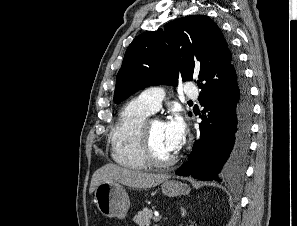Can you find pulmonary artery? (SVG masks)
Listing matches in <instances>:
<instances>
[{"mask_svg": "<svg viewBox=\"0 0 297 226\" xmlns=\"http://www.w3.org/2000/svg\"><path fill=\"white\" fill-rule=\"evenodd\" d=\"M185 95L188 98L195 99L199 95V90L196 86L189 85L185 89ZM163 98L164 91L159 87L145 89L138 96V100L141 101L152 113L159 109Z\"/></svg>", "mask_w": 297, "mask_h": 226, "instance_id": "pulmonary-artery-1", "label": "pulmonary artery"}]
</instances>
